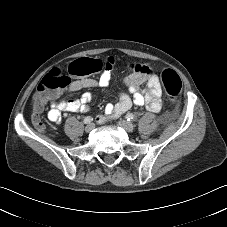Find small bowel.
I'll use <instances>...</instances> for the list:
<instances>
[{
	"instance_id": "1",
	"label": "small bowel",
	"mask_w": 227,
	"mask_h": 227,
	"mask_svg": "<svg viewBox=\"0 0 227 227\" xmlns=\"http://www.w3.org/2000/svg\"><path fill=\"white\" fill-rule=\"evenodd\" d=\"M114 64V59H107L98 79L82 78L74 80L67 88L68 92L83 89L88 91L79 99H64L59 102H52L50 109L47 111V118L52 122L59 123L63 112L89 113L91 111L90 104L94 99L92 90L106 88L110 85ZM145 80L147 81V89H140V84ZM124 83L128 88V93H121L118 103H108L105 106V115L107 117H119L125 114L133 105L145 106L148 111L154 113L161 110L162 89L159 78L154 72L151 75L133 72L124 78ZM101 120L104 121L105 117Z\"/></svg>"
}]
</instances>
